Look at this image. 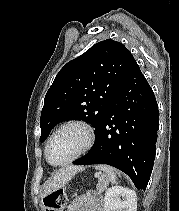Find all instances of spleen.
<instances>
[{"instance_id": "spleen-1", "label": "spleen", "mask_w": 179, "mask_h": 211, "mask_svg": "<svg viewBox=\"0 0 179 211\" xmlns=\"http://www.w3.org/2000/svg\"><path fill=\"white\" fill-rule=\"evenodd\" d=\"M96 169L105 172L108 176V180L112 184H116L117 176H116V172L114 168L110 166L102 165V166H97Z\"/></svg>"}]
</instances>
